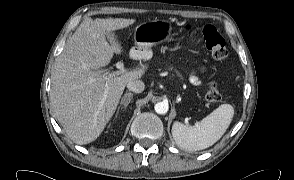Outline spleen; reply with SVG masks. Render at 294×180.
Returning a JSON list of instances; mask_svg holds the SVG:
<instances>
[{"instance_id":"1","label":"spleen","mask_w":294,"mask_h":180,"mask_svg":"<svg viewBox=\"0 0 294 180\" xmlns=\"http://www.w3.org/2000/svg\"><path fill=\"white\" fill-rule=\"evenodd\" d=\"M233 114V106L222 104L193 126L174 122L172 136L182 149L189 151L206 149L215 144L226 132Z\"/></svg>"}]
</instances>
